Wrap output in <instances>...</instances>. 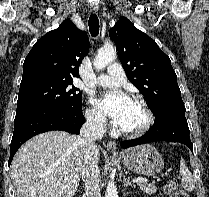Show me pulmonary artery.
<instances>
[{
    "instance_id": "obj_1",
    "label": "pulmonary artery",
    "mask_w": 209,
    "mask_h": 197,
    "mask_svg": "<svg viewBox=\"0 0 209 197\" xmlns=\"http://www.w3.org/2000/svg\"><path fill=\"white\" fill-rule=\"evenodd\" d=\"M126 82V77L121 65L117 62L110 63L107 73L98 76L97 83L101 86L116 87Z\"/></svg>"
}]
</instances>
